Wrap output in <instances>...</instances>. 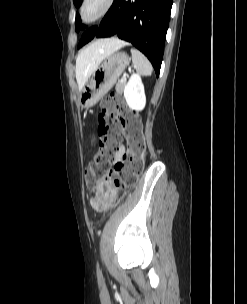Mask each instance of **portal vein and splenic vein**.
<instances>
[{"instance_id":"1","label":"portal vein and splenic vein","mask_w":247,"mask_h":304,"mask_svg":"<svg viewBox=\"0 0 247 304\" xmlns=\"http://www.w3.org/2000/svg\"><path fill=\"white\" fill-rule=\"evenodd\" d=\"M127 76H128V74H127V73H124V74H123V79H126Z\"/></svg>"}]
</instances>
